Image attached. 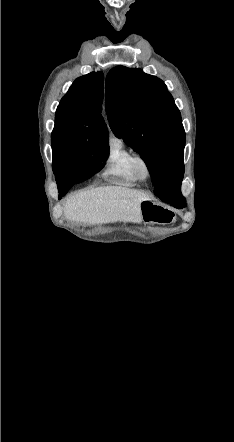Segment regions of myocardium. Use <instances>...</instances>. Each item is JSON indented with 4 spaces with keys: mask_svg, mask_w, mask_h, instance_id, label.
Listing matches in <instances>:
<instances>
[{
    "mask_svg": "<svg viewBox=\"0 0 234 442\" xmlns=\"http://www.w3.org/2000/svg\"><path fill=\"white\" fill-rule=\"evenodd\" d=\"M132 170L140 181L149 179L152 173L151 165L148 159L142 154H134L131 160ZM143 167L144 171L141 170Z\"/></svg>",
    "mask_w": 234,
    "mask_h": 442,
    "instance_id": "1",
    "label": "myocardium"
}]
</instances>
